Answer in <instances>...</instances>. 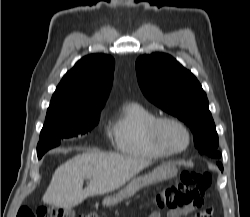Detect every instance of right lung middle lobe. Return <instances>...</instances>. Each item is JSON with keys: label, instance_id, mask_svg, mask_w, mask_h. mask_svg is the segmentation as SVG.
Segmentation results:
<instances>
[{"label": "right lung middle lobe", "instance_id": "right-lung-middle-lobe-1", "mask_svg": "<svg viewBox=\"0 0 250 217\" xmlns=\"http://www.w3.org/2000/svg\"><path fill=\"white\" fill-rule=\"evenodd\" d=\"M100 111L46 118L37 145L38 158L49 149L58 146L61 139L90 132L98 124Z\"/></svg>", "mask_w": 250, "mask_h": 217}]
</instances>
